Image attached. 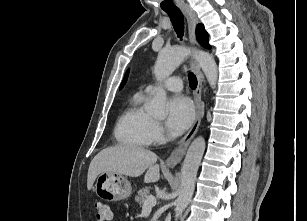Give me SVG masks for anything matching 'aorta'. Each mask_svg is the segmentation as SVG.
<instances>
[{
	"instance_id": "aorta-1",
	"label": "aorta",
	"mask_w": 307,
	"mask_h": 221,
	"mask_svg": "<svg viewBox=\"0 0 307 221\" xmlns=\"http://www.w3.org/2000/svg\"><path fill=\"white\" fill-rule=\"evenodd\" d=\"M191 53V50L186 47L162 49L159 52L154 65V74L157 81L161 82L170 76L173 71L184 61V59L191 55ZM194 55L202 71L204 72L209 85L212 88H215L218 79V69L214 58L209 53L204 51H196ZM165 105L166 92L160 85L156 88L153 99L145 109L147 113L154 117L165 118ZM205 146L206 143L204 138L199 136L193 140L185 156L181 168L179 196L175 201L176 220L181 216L192 198L197 171L205 151Z\"/></svg>"
}]
</instances>
